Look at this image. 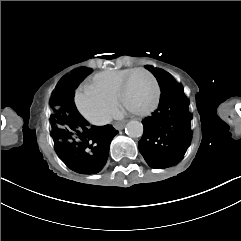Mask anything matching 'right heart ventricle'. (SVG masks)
Here are the masks:
<instances>
[{"instance_id": "obj_1", "label": "right heart ventricle", "mask_w": 241, "mask_h": 241, "mask_svg": "<svg viewBox=\"0 0 241 241\" xmlns=\"http://www.w3.org/2000/svg\"><path fill=\"white\" fill-rule=\"evenodd\" d=\"M134 70L137 71L136 69L104 70L87 78L83 82L82 86L86 84H93L99 87L103 93L109 94L111 96V100L109 99L110 101L118 102L119 101L118 86L121 84V81L124 79V77L128 75V73L134 72Z\"/></svg>"}]
</instances>
